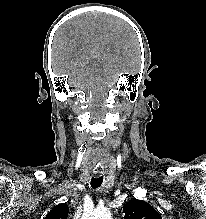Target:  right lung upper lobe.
I'll return each instance as SVG.
<instances>
[{
    "label": "right lung upper lobe",
    "instance_id": "obj_1",
    "mask_svg": "<svg viewBox=\"0 0 206 219\" xmlns=\"http://www.w3.org/2000/svg\"><path fill=\"white\" fill-rule=\"evenodd\" d=\"M69 207L66 203L56 205L44 219H67Z\"/></svg>",
    "mask_w": 206,
    "mask_h": 219
}]
</instances>
